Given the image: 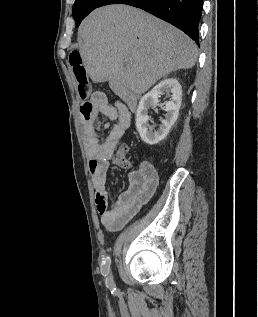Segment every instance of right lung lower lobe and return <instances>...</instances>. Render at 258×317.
<instances>
[{"mask_svg":"<svg viewBox=\"0 0 258 317\" xmlns=\"http://www.w3.org/2000/svg\"><path fill=\"white\" fill-rule=\"evenodd\" d=\"M141 8L185 32L199 46V22L203 0H87L74 18L76 26L94 9L109 4Z\"/></svg>","mask_w":258,"mask_h":317,"instance_id":"right-lung-lower-lobe-1","label":"right lung lower lobe"}]
</instances>
